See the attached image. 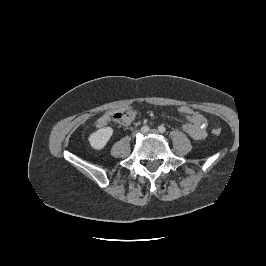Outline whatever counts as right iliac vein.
<instances>
[{"instance_id": "63e3f726", "label": "right iliac vein", "mask_w": 266, "mask_h": 266, "mask_svg": "<svg viewBox=\"0 0 266 266\" xmlns=\"http://www.w3.org/2000/svg\"><path fill=\"white\" fill-rule=\"evenodd\" d=\"M136 135H137V132H134V133L132 134V137L134 138V137H136Z\"/></svg>"}]
</instances>
